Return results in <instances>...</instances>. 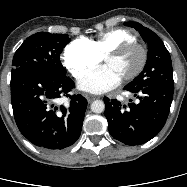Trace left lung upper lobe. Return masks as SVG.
Instances as JSON below:
<instances>
[{
    "label": "left lung upper lobe",
    "instance_id": "5c2ea615",
    "mask_svg": "<svg viewBox=\"0 0 187 187\" xmlns=\"http://www.w3.org/2000/svg\"><path fill=\"white\" fill-rule=\"evenodd\" d=\"M126 26L139 31L148 43V58L144 70L128 85L126 89H139L146 86H173V69L170 54L162 40L150 29L137 22H127Z\"/></svg>",
    "mask_w": 187,
    "mask_h": 187
}]
</instances>
